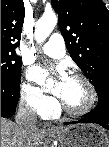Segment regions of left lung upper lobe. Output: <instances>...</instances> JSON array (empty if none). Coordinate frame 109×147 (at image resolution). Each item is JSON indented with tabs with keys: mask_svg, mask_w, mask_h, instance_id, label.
<instances>
[{
	"mask_svg": "<svg viewBox=\"0 0 109 147\" xmlns=\"http://www.w3.org/2000/svg\"><path fill=\"white\" fill-rule=\"evenodd\" d=\"M66 47L98 90L109 83V10L102 0H52Z\"/></svg>",
	"mask_w": 109,
	"mask_h": 147,
	"instance_id": "1",
	"label": "left lung upper lobe"
}]
</instances>
